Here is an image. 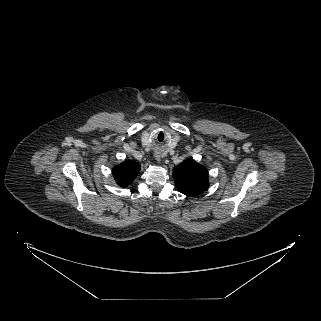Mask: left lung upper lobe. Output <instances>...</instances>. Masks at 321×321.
I'll list each match as a JSON object with an SVG mask.
<instances>
[{
  "mask_svg": "<svg viewBox=\"0 0 321 321\" xmlns=\"http://www.w3.org/2000/svg\"><path fill=\"white\" fill-rule=\"evenodd\" d=\"M173 177L177 189L187 196L199 195L209 186L208 172L192 159L175 167Z\"/></svg>",
  "mask_w": 321,
  "mask_h": 321,
  "instance_id": "1",
  "label": "left lung upper lobe"
}]
</instances>
